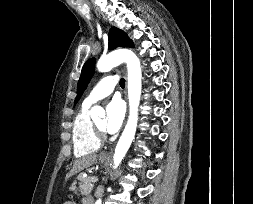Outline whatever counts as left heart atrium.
Returning <instances> with one entry per match:
<instances>
[{"label":"left heart atrium","mask_w":253,"mask_h":204,"mask_svg":"<svg viewBox=\"0 0 253 204\" xmlns=\"http://www.w3.org/2000/svg\"><path fill=\"white\" fill-rule=\"evenodd\" d=\"M107 118L105 121L104 129L110 133H116L124 120L125 109L119 99H113L106 108Z\"/></svg>","instance_id":"1"}]
</instances>
